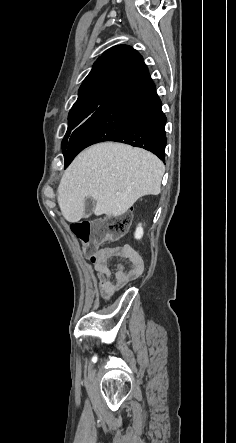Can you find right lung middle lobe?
I'll use <instances>...</instances> for the list:
<instances>
[{
    "instance_id": "1",
    "label": "right lung middle lobe",
    "mask_w": 236,
    "mask_h": 443,
    "mask_svg": "<svg viewBox=\"0 0 236 443\" xmlns=\"http://www.w3.org/2000/svg\"><path fill=\"white\" fill-rule=\"evenodd\" d=\"M108 97L109 96H97L72 107L68 116V131L62 141L63 151L68 148V145L78 131V128L88 120V118ZM73 129L75 130L71 132L70 130Z\"/></svg>"
}]
</instances>
